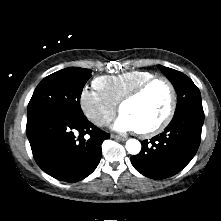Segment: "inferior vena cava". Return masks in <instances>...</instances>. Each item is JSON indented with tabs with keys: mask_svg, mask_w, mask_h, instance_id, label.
Instances as JSON below:
<instances>
[{
	"mask_svg": "<svg viewBox=\"0 0 221 221\" xmlns=\"http://www.w3.org/2000/svg\"><path fill=\"white\" fill-rule=\"evenodd\" d=\"M109 123H110V120L105 119V118H102V119H100V121H99V124H100V125H108Z\"/></svg>",
	"mask_w": 221,
	"mask_h": 221,
	"instance_id": "inferior-vena-cava-1",
	"label": "inferior vena cava"
}]
</instances>
